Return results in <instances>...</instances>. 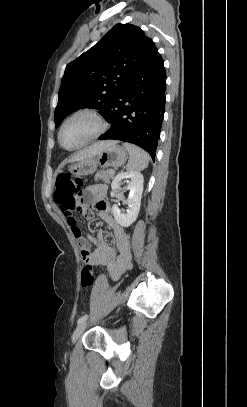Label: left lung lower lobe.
I'll return each instance as SVG.
<instances>
[{"instance_id":"obj_1","label":"left lung lower lobe","mask_w":247,"mask_h":407,"mask_svg":"<svg viewBox=\"0 0 247 407\" xmlns=\"http://www.w3.org/2000/svg\"><path fill=\"white\" fill-rule=\"evenodd\" d=\"M166 74L156 50L144 67L124 86L107 121L108 132L100 140L133 143L155 159L165 109Z\"/></svg>"}]
</instances>
